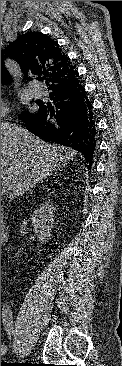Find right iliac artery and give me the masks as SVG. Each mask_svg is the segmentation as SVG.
I'll return each mask as SVG.
<instances>
[{
  "mask_svg": "<svg viewBox=\"0 0 122 366\" xmlns=\"http://www.w3.org/2000/svg\"><path fill=\"white\" fill-rule=\"evenodd\" d=\"M2 310L3 325L8 334L11 335L14 333L11 310L7 305H4Z\"/></svg>",
  "mask_w": 122,
  "mask_h": 366,
  "instance_id": "obj_1",
  "label": "right iliac artery"
}]
</instances>
